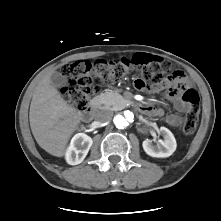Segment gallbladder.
Here are the masks:
<instances>
[{
    "label": "gallbladder",
    "instance_id": "obj_1",
    "mask_svg": "<svg viewBox=\"0 0 221 221\" xmlns=\"http://www.w3.org/2000/svg\"><path fill=\"white\" fill-rule=\"evenodd\" d=\"M50 80L54 87H63L67 84L66 77L57 71L52 73Z\"/></svg>",
    "mask_w": 221,
    "mask_h": 221
}]
</instances>
